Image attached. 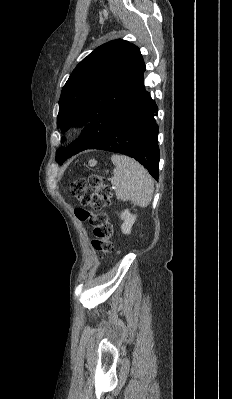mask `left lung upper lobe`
Listing matches in <instances>:
<instances>
[{"label": "left lung upper lobe", "instance_id": "5c2ea615", "mask_svg": "<svg viewBox=\"0 0 232 399\" xmlns=\"http://www.w3.org/2000/svg\"><path fill=\"white\" fill-rule=\"evenodd\" d=\"M145 69L139 48L121 39L99 46L76 66L61 92L57 128L85 127L79 139L57 150L59 164L109 132L138 93Z\"/></svg>", "mask_w": 232, "mask_h": 399}]
</instances>
